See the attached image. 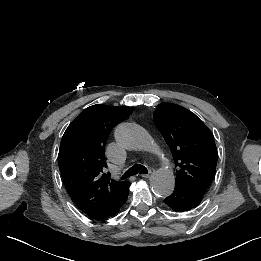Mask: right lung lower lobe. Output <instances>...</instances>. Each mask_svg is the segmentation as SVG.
Wrapping results in <instances>:
<instances>
[{
	"label": "right lung lower lobe",
	"instance_id": "1",
	"mask_svg": "<svg viewBox=\"0 0 261 261\" xmlns=\"http://www.w3.org/2000/svg\"><path fill=\"white\" fill-rule=\"evenodd\" d=\"M127 196H128V191H127V194H125L120 199V201H118V203L116 205H114V206H112V207H110L108 209H105L100 214H98V215H96L94 217H91V218L95 219V220H104L106 218L115 216L120 211V208L122 207V205L126 202Z\"/></svg>",
	"mask_w": 261,
	"mask_h": 261
}]
</instances>
